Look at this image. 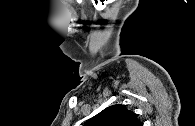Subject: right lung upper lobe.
<instances>
[{"instance_id": "right-lung-upper-lobe-1", "label": "right lung upper lobe", "mask_w": 195, "mask_h": 126, "mask_svg": "<svg viewBox=\"0 0 195 126\" xmlns=\"http://www.w3.org/2000/svg\"><path fill=\"white\" fill-rule=\"evenodd\" d=\"M85 126H142L125 105H112L86 121Z\"/></svg>"}]
</instances>
